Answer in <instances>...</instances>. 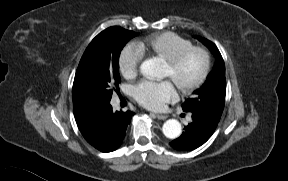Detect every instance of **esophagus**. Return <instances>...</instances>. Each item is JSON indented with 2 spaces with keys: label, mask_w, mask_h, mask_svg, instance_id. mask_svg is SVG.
<instances>
[{
  "label": "esophagus",
  "mask_w": 288,
  "mask_h": 181,
  "mask_svg": "<svg viewBox=\"0 0 288 181\" xmlns=\"http://www.w3.org/2000/svg\"><path fill=\"white\" fill-rule=\"evenodd\" d=\"M154 115L156 116V118H158L159 120H165L168 118L167 115L165 114H158V113H154Z\"/></svg>",
  "instance_id": "esophagus-1"
}]
</instances>
